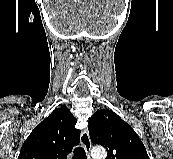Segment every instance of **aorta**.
<instances>
[{
  "label": "aorta",
  "instance_id": "aorta-1",
  "mask_svg": "<svg viewBox=\"0 0 173 159\" xmlns=\"http://www.w3.org/2000/svg\"><path fill=\"white\" fill-rule=\"evenodd\" d=\"M93 159H105L106 151L103 147H94L91 151Z\"/></svg>",
  "mask_w": 173,
  "mask_h": 159
}]
</instances>
